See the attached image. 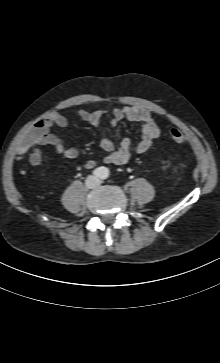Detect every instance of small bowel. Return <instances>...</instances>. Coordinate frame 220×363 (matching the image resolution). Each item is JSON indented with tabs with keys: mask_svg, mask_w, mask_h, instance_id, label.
I'll return each instance as SVG.
<instances>
[{
	"mask_svg": "<svg viewBox=\"0 0 220 363\" xmlns=\"http://www.w3.org/2000/svg\"><path fill=\"white\" fill-rule=\"evenodd\" d=\"M109 113L107 109L95 111L79 110L76 115L83 121L98 127L101 120ZM113 116L112 126H115L121 120H128L141 125L142 135L138 142L132 143L129 139L121 140L118 146L109 139L101 140V147L106 151L105 162L113 165L125 164L132 154H141L146 152L152 145L154 139L159 137L160 128L152 117L151 113L141 107L127 106L116 108L111 111ZM54 126L65 128L68 126V119L59 113H53L39 121L28 133L26 141L18 148L17 154L20 158L29 155L30 163L38 166L43 160V153L40 149L42 145L53 146L56 153L60 156L75 159L79 156V150L75 147H67L62 140L56 135L50 133ZM96 162L88 160L83 163V167L90 169Z\"/></svg>",
	"mask_w": 220,
	"mask_h": 363,
	"instance_id": "1",
	"label": "small bowel"
}]
</instances>
